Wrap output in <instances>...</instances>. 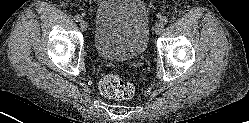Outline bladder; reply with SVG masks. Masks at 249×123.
Segmentation results:
<instances>
[{
	"mask_svg": "<svg viewBox=\"0 0 249 123\" xmlns=\"http://www.w3.org/2000/svg\"><path fill=\"white\" fill-rule=\"evenodd\" d=\"M150 22L142 0H104L96 12L93 44L108 60H129L146 50Z\"/></svg>",
	"mask_w": 249,
	"mask_h": 123,
	"instance_id": "1",
	"label": "bladder"
}]
</instances>
